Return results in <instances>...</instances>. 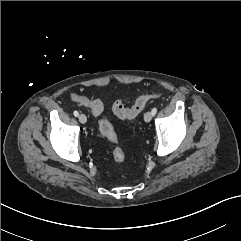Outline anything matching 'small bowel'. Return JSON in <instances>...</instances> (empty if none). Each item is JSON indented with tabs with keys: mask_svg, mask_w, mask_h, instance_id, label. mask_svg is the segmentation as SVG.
<instances>
[{
	"mask_svg": "<svg viewBox=\"0 0 241 241\" xmlns=\"http://www.w3.org/2000/svg\"><path fill=\"white\" fill-rule=\"evenodd\" d=\"M72 100L84 107H87L94 116H99L103 112V103L99 99H89L85 96L74 94Z\"/></svg>",
	"mask_w": 241,
	"mask_h": 241,
	"instance_id": "small-bowel-1",
	"label": "small bowel"
}]
</instances>
